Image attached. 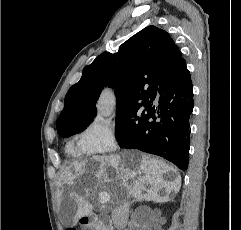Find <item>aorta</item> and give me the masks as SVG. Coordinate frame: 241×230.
<instances>
[{
    "label": "aorta",
    "instance_id": "1",
    "mask_svg": "<svg viewBox=\"0 0 241 230\" xmlns=\"http://www.w3.org/2000/svg\"><path fill=\"white\" fill-rule=\"evenodd\" d=\"M114 96L112 92L105 89L97 102L96 108L98 115L102 118H107L111 116L114 109Z\"/></svg>",
    "mask_w": 241,
    "mask_h": 230
}]
</instances>
